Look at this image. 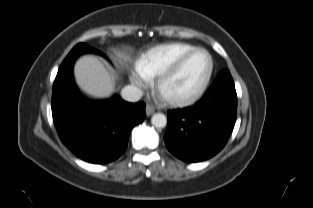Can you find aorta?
Segmentation results:
<instances>
[{
  "mask_svg": "<svg viewBox=\"0 0 313 208\" xmlns=\"http://www.w3.org/2000/svg\"><path fill=\"white\" fill-rule=\"evenodd\" d=\"M151 123L156 128H163L167 124V118L162 113H156L151 118Z\"/></svg>",
  "mask_w": 313,
  "mask_h": 208,
  "instance_id": "762f6f07",
  "label": "aorta"
}]
</instances>
